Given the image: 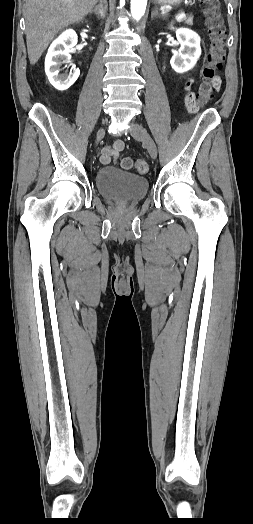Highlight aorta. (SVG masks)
Masks as SVG:
<instances>
[{
  "mask_svg": "<svg viewBox=\"0 0 253 524\" xmlns=\"http://www.w3.org/2000/svg\"><path fill=\"white\" fill-rule=\"evenodd\" d=\"M147 6V0H131V14L137 21L144 15Z\"/></svg>",
  "mask_w": 253,
  "mask_h": 524,
  "instance_id": "762f6f07",
  "label": "aorta"
}]
</instances>
